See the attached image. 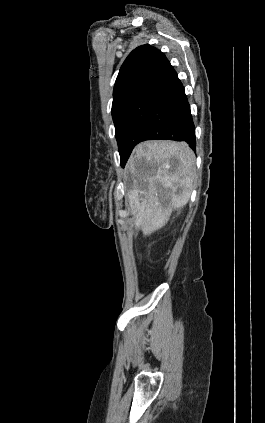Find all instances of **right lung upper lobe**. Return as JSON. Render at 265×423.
<instances>
[{
	"mask_svg": "<svg viewBox=\"0 0 265 423\" xmlns=\"http://www.w3.org/2000/svg\"><path fill=\"white\" fill-rule=\"evenodd\" d=\"M171 68L165 55L149 44L134 49L117 76L113 103L135 93L148 94Z\"/></svg>",
	"mask_w": 265,
	"mask_h": 423,
	"instance_id": "1",
	"label": "right lung upper lobe"
}]
</instances>
